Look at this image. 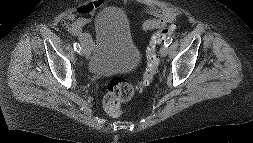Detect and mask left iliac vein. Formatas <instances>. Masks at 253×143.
Segmentation results:
<instances>
[{"label":"left iliac vein","mask_w":253,"mask_h":143,"mask_svg":"<svg viewBox=\"0 0 253 143\" xmlns=\"http://www.w3.org/2000/svg\"><path fill=\"white\" fill-rule=\"evenodd\" d=\"M168 54V48L163 46L161 49H160V55L162 57H165L166 55Z\"/></svg>","instance_id":"4c4485c4"}]
</instances>
